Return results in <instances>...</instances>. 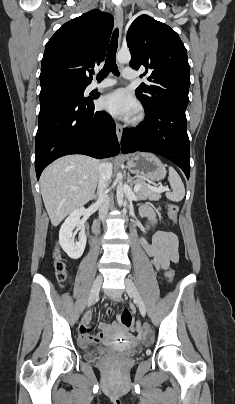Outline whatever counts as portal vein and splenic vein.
<instances>
[{
  "instance_id": "1",
  "label": "portal vein and splenic vein",
  "mask_w": 235,
  "mask_h": 404,
  "mask_svg": "<svg viewBox=\"0 0 235 404\" xmlns=\"http://www.w3.org/2000/svg\"><path fill=\"white\" fill-rule=\"evenodd\" d=\"M152 191L154 192H163V191H168L169 188L168 187H164V186H159V187H152L147 185ZM141 187V184H138L134 187V191L137 192Z\"/></svg>"
}]
</instances>
